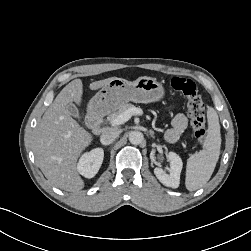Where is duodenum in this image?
Wrapping results in <instances>:
<instances>
[{
  "mask_svg": "<svg viewBox=\"0 0 251 251\" xmlns=\"http://www.w3.org/2000/svg\"><path fill=\"white\" fill-rule=\"evenodd\" d=\"M87 123L96 133L101 132L102 116L99 112L91 113L88 116Z\"/></svg>",
  "mask_w": 251,
  "mask_h": 251,
  "instance_id": "obj_1",
  "label": "duodenum"
}]
</instances>
